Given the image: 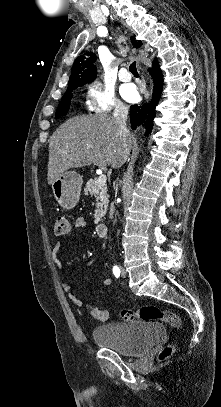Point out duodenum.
<instances>
[{"mask_svg": "<svg viewBox=\"0 0 221 407\" xmlns=\"http://www.w3.org/2000/svg\"><path fill=\"white\" fill-rule=\"evenodd\" d=\"M108 225L105 223H99L96 226V232L99 236H105L107 234L108 231Z\"/></svg>", "mask_w": 221, "mask_h": 407, "instance_id": "duodenum-1", "label": "duodenum"}]
</instances>
